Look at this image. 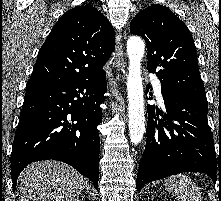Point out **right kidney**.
I'll return each instance as SVG.
<instances>
[{"label": "right kidney", "mask_w": 221, "mask_h": 201, "mask_svg": "<svg viewBox=\"0 0 221 201\" xmlns=\"http://www.w3.org/2000/svg\"><path fill=\"white\" fill-rule=\"evenodd\" d=\"M68 201H80L79 199H76V198H71L69 199Z\"/></svg>", "instance_id": "right-kidney-1"}]
</instances>
